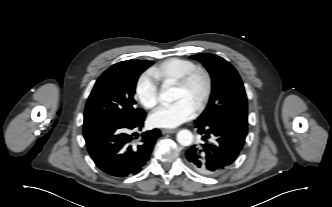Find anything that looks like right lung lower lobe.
<instances>
[{
	"label": "right lung lower lobe",
	"instance_id": "right-lung-lower-lobe-1",
	"mask_svg": "<svg viewBox=\"0 0 332 207\" xmlns=\"http://www.w3.org/2000/svg\"><path fill=\"white\" fill-rule=\"evenodd\" d=\"M145 117L146 114L126 124L111 122L84 127L89 154L102 171L114 177H128L143 169L161 135L158 129H153L143 133L138 143H133L128 132L141 129Z\"/></svg>",
	"mask_w": 332,
	"mask_h": 207
}]
</instances>
